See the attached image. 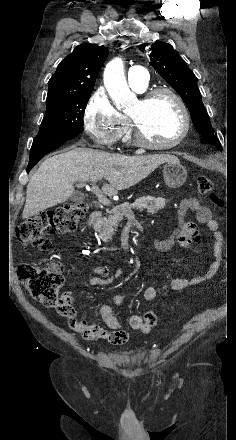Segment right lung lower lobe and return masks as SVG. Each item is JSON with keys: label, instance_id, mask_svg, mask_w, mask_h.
<instances>
[{"label": "right lung lower lobe", "instance_id": "1", "mask_svg": "<svg viewBox=\"0 0 236 440\" xmlns=\"http://www.w3.org/2000/svg\"><path fill=\"white\" fill-rule=\"evenodd\" d=\"M75 134H67L52 137H35L30 150V162L27 166V173L37 164V162L49 152L60 147L64 142L76 137Z\"/></svg>", "mask_w": 236, "mask_h": 440}]
</instances>
